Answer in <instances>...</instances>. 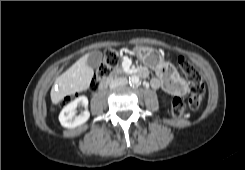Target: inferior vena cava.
Instances as JSON below:
<instances>
[{"instance_id": "602c4592", "label": "inferior vena cava", "mask_w": 245, "mask_h": 170, "mask_svg": "<svg viewBox=\"0 0 245 170\" xmlns=\"http://www.w3.org/2000/svg\"><path fill=\"white\" fill-rule=\"evenodd\" d=\"M127 82H128V80L126 77L116 78L110 82V88H116L119 86H124L127 84Z\"/></svg>"}]
</instances>
